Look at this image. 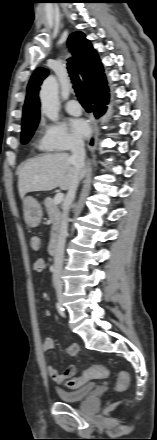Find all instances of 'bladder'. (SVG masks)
<instances>
[{"instance_id": "31cf9c89", "label": "bladder", "mask_w": 157, "mask_h": 440, "mask_svg": "<svg viewBox=\"0 0 157 440\" xmlns=\"http://www.w3.org/2000/svg\"><path fill=\"white\" fill-rule=\"evenodd\" d=\"M95 389L94 383H89L76 390L68 391L64 389H57L56 394L58 398L65 403H77L87 398Z\"/></svg>"}]
</instances>
